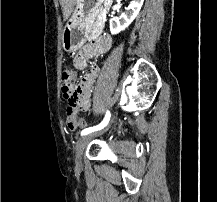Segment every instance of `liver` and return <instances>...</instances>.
<instances>
[{
	"mask_svg": "<svg viewBox=\"0 0 217 202\" xmlns=\"http://www.w3.org/2000/svg\"><path fill=\"white\" fill-rule=\"evenodd\" d=\"M60 4L62 6L63 18L68 20L74 10L76 0H60Z\"/></svg>",
	"mask_w": 217,
	"mask_h": 202,
	"instance_id": "liver-1",
	"label": "liver"
}]
</instances>
